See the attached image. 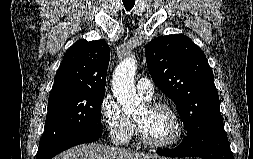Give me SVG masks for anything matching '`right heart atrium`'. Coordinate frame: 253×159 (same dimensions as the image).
<instances>
[{
    "mask_svg": "<svg viewBox=\"0 0 253 159\" xmlns=\"http://www.w3.org/2000/svg\"><path fill=\"white\" fill-rule=\"evenodd\" d=\"M100 117L108 138L116 144L126 145L134 132L133 120L124 113L120 104L110 94L100 104Z\"/></svg>",
    "mask_w": 253,
    "mask_h": 159,
    "instance_id": "obj_1",
    "label": "right heart atrium"
}]
</instances>
